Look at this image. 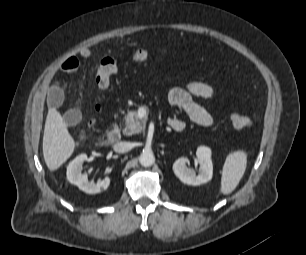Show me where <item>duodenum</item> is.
<instances>
[{
  "label": "duodenum",
  "instance_id": "obj_1",
  "mask_svg": "<svg viewBox=\"0 0 306 255\" xmlns=\"http://www.w3.org/2000/svg\"><path fill=\"white\" fill-rule=\"evenodd\" d=\"M121 138V132L118 128H113L107 133L106 142L109 144L116 143Z\"/></svg>",
  "mask_w": 306,
  "mask_h": 255
}]
</instances>
